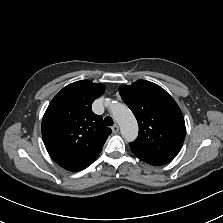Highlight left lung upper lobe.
Instances as JSON below:
<instances>
[{
    "label": "left lung upper lobe",
    "mask_w": 223,
    "mask_h": 223,
    "mask_svg": "<svg viewBox=\"0 0 223 223\" xmlns=\"http://www.w3.org/2000/svg\"><path fill=\"white\" fill-rule=\"evenodd\" d=\"M119 92L139 124L138 137L130 143L134 155L151 165H164L173 160L186 134L177 103L163 88L145 80L131 86L122 85Z\"/></svg>",
    "instance_id": "left-lung-upper-lobe-1"
}]
</instances>
